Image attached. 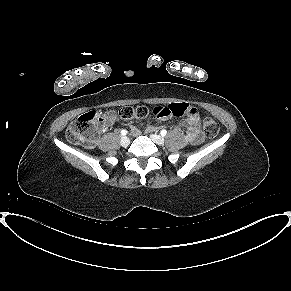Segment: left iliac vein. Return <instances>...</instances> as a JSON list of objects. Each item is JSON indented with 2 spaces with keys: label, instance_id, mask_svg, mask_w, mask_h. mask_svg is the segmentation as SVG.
Segmentation results:
<instances>
[{
  "label": "left iliac vein",
  "instance_id": "1",
  "mask_svg": "<svg viewBox=\"0 0 291 291\" xmlns=\"http://www.w3.org/2000/svg\"><path fill=\"white\" fill-rule=\"evenodd\" d=\"M151 139L158 145H163L165 143L164 138L157 134H152Z\"/></svg>",
  "mask_w": 291,
  "mask_h": 291
}]
</instances>
